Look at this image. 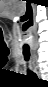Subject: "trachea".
<instances>
[{"label": "trachea", "instance_id": "3493384b", "mask_svg": "<svg viewBox=\"0 0 48 87\" xmlns=\"http://www.w3.org/2000/svg\"><path fill=\"white\" fill-rule=\"evenodd\" d=\"M23 55H24L25 60L28 61L29 57H30L29 50L24 49L23 50ZM28 75H29V77L37 78L36 74L34 72H32V71H28Z\"/></svg>", "mask_w": 48, "mask_h": 87}]
</instances>
